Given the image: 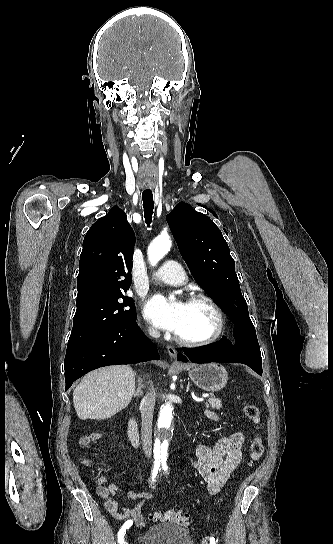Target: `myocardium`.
Listing matches in <instances>:
<instances>
[{"label": "myocardium", "instance_id": "1", "mask_svg": "<svg viewBox=\"0 0 333 544\" xmlns=\"http://www.w3.org/2000/svg\"><path fill=\"white\" fill-rule=\"evenodd\" d=\"M197 302L205 303L212 310L216 318V327L209 337L200 340L186 339L176 334V340L189 347H203L213 344L222 336L225 330V315L219 304L212 297L203 293L194 294L187 301V303Z\"/></svg>", "mask_w": 333, "mask_h": 544}]
</instances>
